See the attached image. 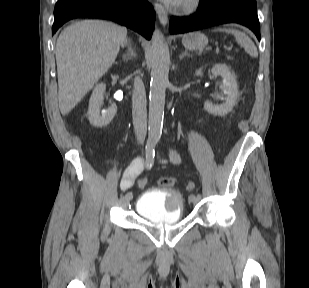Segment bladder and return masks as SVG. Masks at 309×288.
Wrapping results in <instances>:
<instances>
[{
    "label": "bladder",
    "instance_id": "obj_1",
    "mask_svg": "<svg viewBox=\"0 0 309 288\" xmlns=\"http://www.w3.org/2000/svg\"><path fill=\"white\" fill-rule=\"evenodd\" d=\"M135 211L148 221L175 223L183 215V197L176 190L148 189L137 200Z\"/></svg>",
    "mask_w": 309,
    "mask_h": 288
}]
</instances>
